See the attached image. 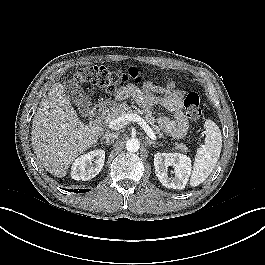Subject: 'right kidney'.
Wrapping results in <instances>:
<instances>
[{
	"label": "right kidney",
	"instance_id": "right-kidney-1",
	"mask_svg": "<svg viewBox=\"0 0 265 265\" xmlns=\"http://www.w3.org/2000/svg\"><path fill=\"white\" fill-rule=\"evenodd\" d=\"M105 151L102 149L90 151L77 158L72 165L71 177L74 180L87 181L99 174L104 166Z\"/></svg>",
	"mask_w": 265,
	"mask_h": 265
}]
</instances>
